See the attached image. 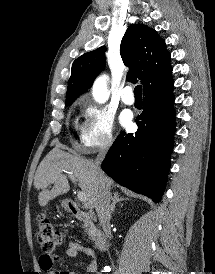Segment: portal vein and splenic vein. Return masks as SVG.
Masks as SVG:
<instances>
[{
	"instance_id": "portal-vein-and-splenic-vein-1",
	"label": "portal vein and splenic vein",
	"mask_w": 215,
	"mask_h": 274,
	"mask_svg": "<svg viewBox=\"0 0 215 274\" xmlns=\"http://www.w3.org/2000/svg\"><path fill=\"white\" fill-rule=\"evenodd\" d=\"M62 172L67 173L68 177L72 180L73 183H75V178H74V176L71 173H69V172H67L65 170H62ZM77 197H78V200L81 201L82 203H84V204L87 203V196H86L85 192L79 191L77 193Z\"/></svg>"
}]
</instances>
